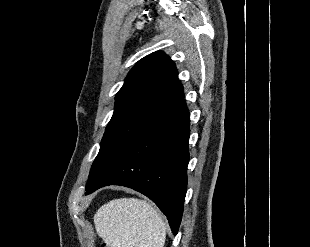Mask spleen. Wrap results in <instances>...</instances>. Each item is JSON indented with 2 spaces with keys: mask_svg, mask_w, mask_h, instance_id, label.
Returning a JSON list of instances; mask_svg holds the SVG:
<instances>
[{
  "mask_svg": "<svg viewBox=\"0 0 310 247\" xmlns=\"http://www.w3.org/2000/svg\"><path fill=\"white\" fill-rule=\"evenodd\" d=\"M98 235L109 247H164L166 225L156 208L137 198L104 204L94 216Z\"/></svg>",
  "mask_w": 310,
  "mask_h": 247,
  "instance_id": "obj_1",
  "label": "spleen"
}]
</instances>
